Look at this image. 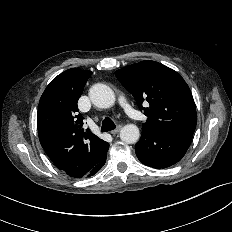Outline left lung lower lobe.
Returning a JSON list of instances; mask_svg holds the SVG:
<instances>
[{
	"label": "left lung lower lobe",
	"instance_id": "0a47b994",
	"mask_svg": "<svg viewBox=\"0 0 232 232\" xmlns=\"http://www.w3.org/2000/svg\"><path fill=\"white\" fill-rule=\"evenodd\" d=\"M193 134L188 132H155L142 129V135L135 145V152L143 164L163 169L179 162L185 155Z\"/></svg>",
	"mask_w": 232,
	"mask_h": 232
}]
</instances>
